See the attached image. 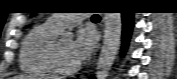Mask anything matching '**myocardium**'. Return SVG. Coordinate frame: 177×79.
<instances>
[{
    "label": "myocardium",
    "instance_id": "myocardium-1",
    "mask_svg": "<svg viewBox=\"0 0 177 79\" xmlns=\"http://www.w3.org/2000/svg\"><path fill=\"white\" fill-rule=\"evenodd\" d=\"M50 61L54 68V70L62 75H72L80 69V64H77L74 67L67 68L65 67L60 59L59 51H58V43L55 42L52 46L51 52H50Z\"/></svg>",
    "mask_w": 177,
    "mask_h": 79
}]
</instances>
